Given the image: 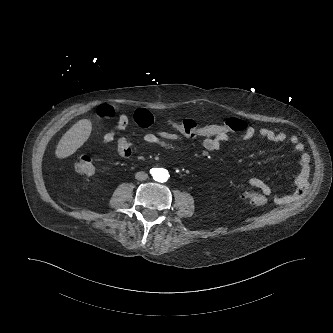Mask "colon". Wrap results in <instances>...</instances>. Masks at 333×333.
Wrapping results in <instances>:
<instances>
[{
	"mask_svg": "<svg viewBox=\"0 0 333 333\" xmlns=\"http://www.w3.org/2000/svg\"><path fill=\"white\" fill-rule=\"evenodd\" d=\"M97 115L101 119L112 118L115 115V110L110 105H102L98 108ZM168 124L178 133L189 138L228 137L232 134L243 132L247 128L246 122L238 118H230L218 124H199L191 119L177 121L169 118ZM72 167L79 174L91 175L95 172L94 163L89 156L73 158ZM244 198L255 206L261 207L267 204V197L258 192H245Z\"/></svg>",
	"mask_w": 333,
	"mask_h": 333,
	"instance_id": "5ec220e1",
	"label": "colon"
}]
</instances>
